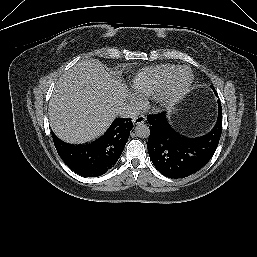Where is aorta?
I'll return each mask as SVG.
<instances>
[{
	"instance_id": "obj_1",
	"label": "aorta",
	"mask_w": 257,
	"mask_h": 257,
	"mask_svg": "<svg viewBox=\"0 0 257 257\" xmlns=\"http://www.w3.org/2000/svg\"><path fill=\"white\" fill-rule=\"evenodd\" d=\"M135 133L140 138H148L150 135V129L146 124H138L135 127Z\"/></svg>"
}]
</instances>
